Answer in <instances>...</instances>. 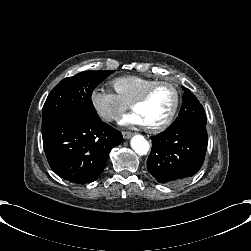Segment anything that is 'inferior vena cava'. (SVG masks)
Wrapping results in <instances>:
<instances>
[{
	"mask_svg": "<svg viewBox=\"0 0 251 251\" xmlns=\"http://www.w3.org/2000/svg\"><path fill=\"white\" fill-rule=\"evenodd\" d=\"M122 115L120 113H112L106 116L105 120L110 121V120H120Z\"/></svg>",
	"mask_w": 251,
	"mask_h": 251,
	"instance_id": "obj_1",
	"label": "inferior vena cava"
}]
</instances>
